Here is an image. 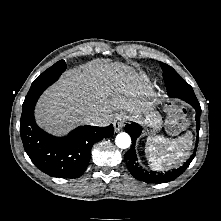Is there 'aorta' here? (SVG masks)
Here are the masks:
<instances>
[{
	"label": "aorta",
	"instance_id": "1",
	"mask_svg": "<svg viewBox=\"0 0 221 221\" xmlns=\"http://www.w3.org/2000/svg\"><path fill=\"white\" fill-rule=\"evenodd\" d=\"M115 143L118 148L126 149L131 145V138L129 134L121 132L116 136Z\"/></svg>",
	"mask_w": 221,
	"mask_h": 221
}]
</instances>
